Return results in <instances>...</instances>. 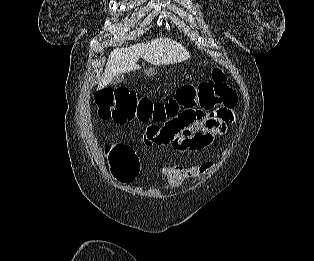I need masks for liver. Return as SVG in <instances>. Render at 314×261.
<instances>
[{
	"mask_svg": "<svg viewBox=\"0 0 314 261\" xmlns=\"http://www.w3.org/2000/svg\"><path fill=\"white\" fill-rule=\"evenodd\" d=\"M189 57V51L180 43L162 37L147 43H138L126 48H116L109 55L97 89L107 86L118 74L140 69V66L137 64L140 58L152 65L159 66L180 63Z\"/></svg>",
	"mask_w": 314,
	"mask_h": 261,
	"instance_id": "6515ba94",
	"label": "liver"
}]
</instances>
